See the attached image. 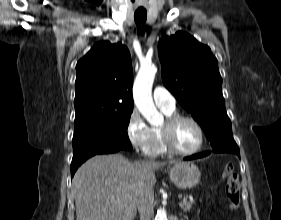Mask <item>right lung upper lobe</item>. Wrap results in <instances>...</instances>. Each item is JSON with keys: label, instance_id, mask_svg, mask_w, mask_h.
Segmentation results:
<instances>
[{"label": "right lung upper lobe", "instance_id": "cb5924a9", "mask_svg": "<svg viewBox=\"0 0 281 220\" xmlns=\"http://www.w3.org/2000/svg\"><path fill=\"white\" fill-rule=\"evenodd\" d=\"M76 70L75 118L133 110V71L126 46L99 42Z\"/></svg>", "mask_w": 281, "mask_h": 220}]
</instances>
